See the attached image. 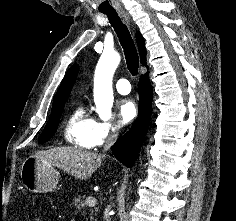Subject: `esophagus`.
Returning a JSON list of instances; mask_svg holds the SVG:
<instances>
[{
  "label": "esophagus",
  "mask_w": 236,
  "mask_h": 221,
  "mask_svg": "<svg viewBox=\"0 0 236 221\" xmlns=\"http://www.w3.org/2000/svg\"><path fill=\"white\" fill-rule=\"evenodd\" d=\"M119 14L124 18V20L130 24V18L129 15L127 14V12H125L124 10H119Z\"/></svg>",
  "instance_id": "34e87169"
}]
</instances>
